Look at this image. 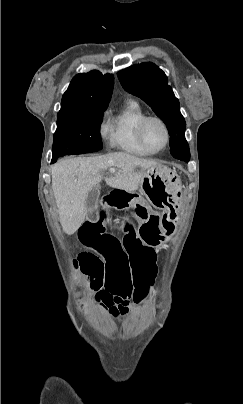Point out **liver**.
Here are the masks:
<instances>
[{
  "instance_id": "liver-1",
  "label": "liver",
  "mask_w": 243,
  "mask_h": 404,
  "mask_svg": "<svg viewBox=\"0 0 243 404\" xmlns=\"http://www.w3.org/2000/svg\"><path fill=\"white\" fill-rule=\"evenodd\" d=\"M158 166L149 158H137L127 152H114L96 158H70L52 166V190L60 216V224L68 236L75 234L85 222L86 198L100 184L106 170H116L105 178L111 188L135 192L143 172ZM139 168V170H138Z\"/></svg>"
}]
</instances>
